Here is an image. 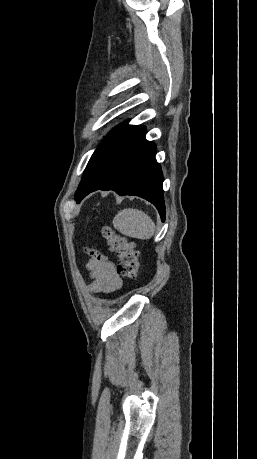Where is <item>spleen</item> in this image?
<instances>
[{
    "label": "spleen",
    "instance_id": "3e777b00",
    "mask_svg": "<svg viewBox=\"0 0 257 459\" xmlns=\"http://www.w3.org/2000/svg\"><path fill=\"white\" fill-rule=\"evenodd\" d=\"M114 227L123 235L141 240L150 239L155 232V223L141 210L126 208L113 218Z\"/></svg>",
    "mask_w": 257,
    "mask_h": 459
}]
</instances>
